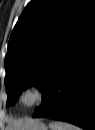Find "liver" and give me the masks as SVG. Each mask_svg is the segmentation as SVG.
Here are the masks:
<instances>
[{
  "label": "liver",
  "instance_id": "6515ba94",
  "mask_svg": "<svg viewBox=\"0 0 95 130\" xmlns=\"http://www.w3.org/2000/svg\"><path fill=\"white\" fill-rule=\"evenodd\" d=\"M28 121V120H26ZM24 120H18V121H13L12 124L8 127L7 130H16L17 128H21L22 125L26 122Z\"/></svg>",
  "mask_w": 95,
  "mask_h": 130
}]
</instances>
